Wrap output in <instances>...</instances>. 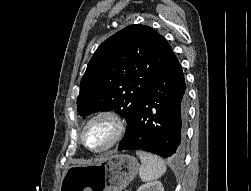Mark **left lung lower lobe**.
<instances>
[{
  "mask_svg": "<svg viewBox=\"0 0 251 191\" xmlns=\"http://www.w3.org/2000/svg\"><path fill=\"white\" fill-rule=\"evenodd\" d=\"M186 114L184 74L172 52L149 86L118 150L141 149L164 158L181 156Z\"/></svg>",
  "mask_w": 251,
  "mask_h": 191,
  "instance_id": "obj_1",
  "label": "left lung lower lobe"
}]
</instances>
